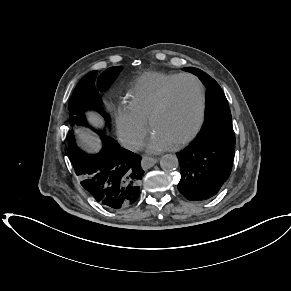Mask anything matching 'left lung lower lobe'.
I'll use <instances>...</instances> for the list:
<instances>
[{"instance_id": "0a47b994", "label": "left lung lower lobe", "mask_w": 291, "mask_h": 291, "mask_svg": "<svg viewBox=\"0 0 291 291\" xmlns=\"http://www.w3.org/2000/svg\"><path fill=\"white\" fill-rule=\"evenodd\" d=\"M235 155V144L194 139L177 153L181 179L179 192L190 201L213 198L228 180Z\"/></svg>"}]
</instances>
